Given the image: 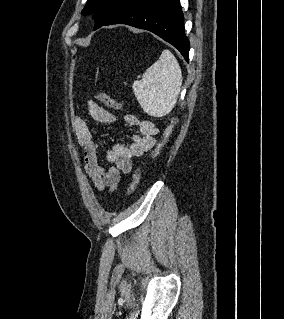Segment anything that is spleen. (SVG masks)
<instances>
[{"instance_id": "spleen-1", "label": "spleen", "mask_w": 284, "mask_h": 319, "mask_svg": "<svg viewBox=\"0 0 284 319\" xmlns=\"http://www.w3.org/2000/svg\"><path fill=\"white\" fill-rule=\"evenodd\" d=\"M182 85V73L178 61L167 49L143 74L133 82V92L149 115L162 117L174 108Z\"/></svg>"}]
</instances>
